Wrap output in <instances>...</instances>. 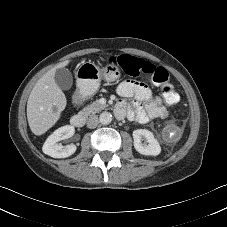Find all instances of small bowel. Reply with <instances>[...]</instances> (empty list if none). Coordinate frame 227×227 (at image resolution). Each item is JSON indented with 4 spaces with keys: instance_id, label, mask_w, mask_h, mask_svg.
Returning a JSON list of instances; mask_svg holds the SVG:
<instances>
[{
    "instance_id": "small-bowel-1",
    "label": "small bowel",
    "mask_w": 227,
    "mask_h": 227,
    "mask_svg": "<svg viewBox=\"0 0 227 227\" xmlns=\"http://www.w3.org/2000/svg\"><path fill=\"white\" fill-rule=\"evenodd\" d=\"M116 91L121 97L116 109L119 118L127 116L131 120L145 124L151 119H165L169 116V110L162 99L154 96L148 85L143 82L125 80L118 84ZM128 98H135L136 101L127 105Z\"/></svg>"
}]
</instances>
